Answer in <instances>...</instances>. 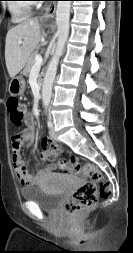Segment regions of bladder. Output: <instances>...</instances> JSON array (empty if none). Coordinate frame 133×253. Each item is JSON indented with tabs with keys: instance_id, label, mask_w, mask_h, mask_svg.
Wrapping results in <instances>:
<instances>
[{
	"instance_id": "31cf9c89",
	"label": "bladder",
	"mask_w": 133,
	"mask_h": 253,
	"mask_svg": "<svg viewBox=\"0 0 133 253\" xmlns=\"http://www.w3.org/2000/svg\"><path fill=\"white\" fill-rule=\"evenodd\" d=\"M20 194L25 201L36 204L46 212L55 211L62 200L60 192L50 191L39 185L24 187L20 190Z\"/></svg>"
}]
</instances>
